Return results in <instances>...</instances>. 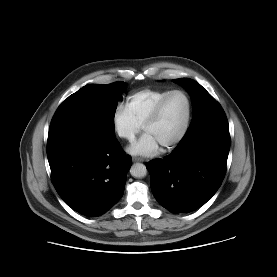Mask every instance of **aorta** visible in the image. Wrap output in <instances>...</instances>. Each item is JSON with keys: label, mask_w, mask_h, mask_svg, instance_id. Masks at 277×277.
<instances>
[{"label": "aorta", "mask_w": 277, "mask_h": 277, "mask_svg": "<svg viewBox=\"0 0 277 277\" xmlns=\"http://www.w3.org/2000/svg\"><path fill=\"white\" fill-rule=\"evenodd\" d=\"M130 173L135 178H143L147 175V169L144 164L136 163L131 166Z\"/></svg>", "instance_id": "762f6f07"}]
</instances>
